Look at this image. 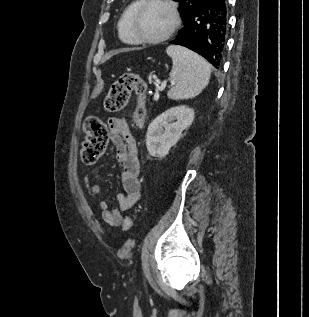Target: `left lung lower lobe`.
I'll use <instances>...</instances> for the list:
<instances>
[{
	"label": "left lung lower lobe",
	"mask_w": 309,
	"mask_h": 317,
	"mask_svg": "<svg viewBox=\"0 0 309 317\" xmlns=\"http://www.w3.org/2000/svg\"><path fill=\"white\" fill-rule=\"evenodd\" d=\"M228 31L227 0H205L184 19V26L171 44L187 47L219 68Z\"/></svg>",
	"instance_id": "0a47b994"
}]
</instances>
